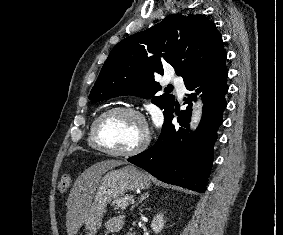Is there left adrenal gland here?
Wrapping results in <instances>:
<instances>
[{"mask_svg": "<svg viewBox=\"0 0 283 235\" xmlns=\"http://www.w3.org/2000/svg\"><path fill=\"white\" fill-rule=\"evenodd\" d=\"M150 195H149V193L148 192H146V193H144V194H142L141 196H140V198H139V201H138V203H141L143 200H145L146 198H148ZM138 203H136V205H134L133 207H132V210H133V208L135 207V206H137L138 205Z\"/></svg>", "mask_w": 283, "mask_h": 235, "instance_id": "obj_1", "label": "left adrenal gland"}]
</instances>
